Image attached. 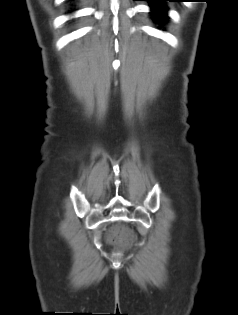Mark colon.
<instances>
[{
	"label": "colon",
	"instance_id": "colon-1",
	"mask_svg": "<svg viewBox=\"0 0 238 315\" xmlns=\"http://www.w3.org/2000/svg\"><path fill=\"white\" fill-rule=\"evenodd\" d=\"M112 236H113V238L120 237L125 241H131L132 240L131 234L128 233L124 228H121V227L114 229L112 232Z\"/></svg>",
	"mask_w": 238,
	"mask_h": 315
}]
</instances>
